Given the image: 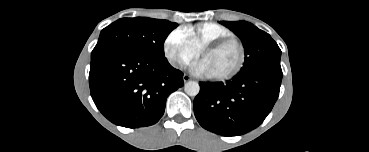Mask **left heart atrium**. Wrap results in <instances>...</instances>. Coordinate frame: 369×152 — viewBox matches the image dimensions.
I'll use <instances>...</instances> for the list:
<instances>
[{
  "mask_svg": "<svg viewBox=\"0 0 369 152\" xmlns=\"http://www.w3.org/2000/svg\"><path fill=\"white\" fill-rule=\"evenodd\" d=\"M191 70L196 75L210 76L207 66L203 61L194 63L193 66L191 67Z\"/></svg>",
  "mask_w": 369,
  "mask_h": 152,
  "instance_id": "left-heart-atrium-1",
  "label": "left heart atrium"
}]
</instances>
